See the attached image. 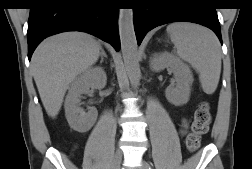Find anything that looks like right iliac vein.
Wrapping results in <instances>:
<instances>
[{
	"label": "right iliac vein",
	"instance_id": "1",
	"mask_svg": "<svg viewBox=\"0 0 252 169\" xmlns=\"http://www.w3.org/2000/svg\"><path fill=\"white\" fill-rule=\"evenodd\" d=\"M121 160H122V151L120 149H117L114 155V160L111 169H120L119 167Z\"/></svg>",
	"mask_w": 252,
	"mask_h": 169
}]
</instances>
